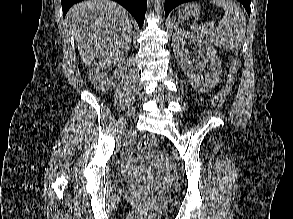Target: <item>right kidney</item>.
<instances>
[{"label":"right kidney","instance_id":"right-kidney-1","mask_svg":"<svg viewBox=\"0 0 293 219\" xmlns=\"http://www.w3.org/2000/svg\"><path fill=\"white\" fill-rule=\"evenodd\" d=\"M113 63L117 64L118 69L114 72L113 76L108 77L106 69ZM125 63L124 56L102 57L94 62L88 70V76L96 90L106 93L115 89L117 82L122 76Z\"/></svg>","mask_w":293,"mask_h":219}]
</instances>
